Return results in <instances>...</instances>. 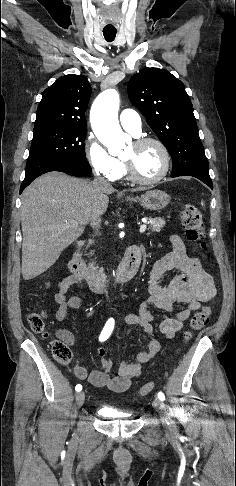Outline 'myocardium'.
Returning a JSON list of instances; mask_svg holds the SVG:
<instances>
[{
	"mask_svg": "<svg viewBox=\"0 0 236 486\" xmlns=\"http://www.w3.org/2000/svg\"><path fill=\"white\" fill-rule=\"evenodd\" d=\"M147 144L157 145L159 147V149L161 150L162 155H163V168L157 176H155L153 178H148V179L141 178L136 174L132 164L125 159L123 160L124 165H125V169H126L127 177L132 182L137 183V184H141V185H152V184H156V183L160 182L168 174L169 169H170V165H171L170 152H169L167 146L161 140H159L157 138H153V137H143V138L137 139L134 142V145H136L138 147L143 146V145H147Z\"/></svg>",
	"mask_w": 236,
	"mask_h": 486,
	"instance_id": "1",
	"label": "myocardium"
}]
</instances>
